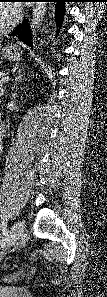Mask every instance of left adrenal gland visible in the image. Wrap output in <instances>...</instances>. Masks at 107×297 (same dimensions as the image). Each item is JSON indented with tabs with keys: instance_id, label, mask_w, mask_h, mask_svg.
Masks as SVG:
<instances>
[{
	"instance_id": "left-adrenal-gland-1",
	"label": "left adrenal gland",
	"mask_w": 107,
	"mask_h": 297,
	"mask_svg": "<svg viewBox=\"0 0 107 297\" xmlns=\"http://www.w3.org/2000/svg\"><path fill=\"white\" fill-rule=\"evenodd\" d=\"M22 70L23 69L18 70V75L15 77L13 89H14L15 85H17L18 83H20L22 81V77H23Z\"/></svg>"
}]
</instances>
